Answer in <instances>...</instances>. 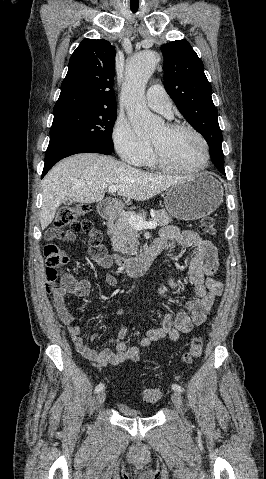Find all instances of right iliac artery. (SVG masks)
<instances>
[{"label": "right iliac artery", "mask_w": 266, "mask_h": 479, "mask_svg": "<svg viewBox=\"0 0 266 479\" xmlns=\"http://www.w3.org/2000/svg\"><path fill=\"white\" fill-rule=\"evenodd\" d=\"M103 389H104V384L100 383L95 387V392L97 393L99 391H102Z\"/></svg>", "instance_id": "1"}]
</instances>
